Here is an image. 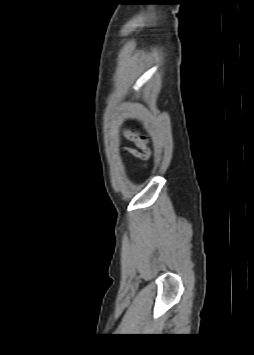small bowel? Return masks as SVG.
Instances as JSON below:
<instances>
[{
  "mask_svg": "<svg viewBox=\"0 0 254 355\" xmlns=\"http://www.w3.org/2000/svg\"><path fill=\"white\" fill-rule=\"evenodd\" d=\"M126 137H127L130 141L136 143L140 148H142V151H138L137 149H134V148H131V147H125V148H124V151H125V152L131 154L132 156H134V157H136V158L142 159V160H146V159L149 158L150 153H149V151H148L147 149L144 148V145H143L141 142H139L137 139H135L134 137H132V136H131L130 134H128L127 132H126ZM147 167H148L147 165H144V166L142 167V170H145Z\"/></svg>",
  "mask_w": 254,
  "mask_h": 355,
  "instance_id": "obj_1",
  "label": "small bowel"
}]
</instances>
